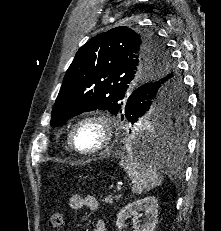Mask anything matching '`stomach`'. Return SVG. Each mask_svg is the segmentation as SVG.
<instances>
[{"mask_svg": "<svg viewBox=\"0 0 221 231\" xmlns=\"http://www.w3.org/2000/svg\"><path fill=\"white\" fill-rule=\"evenodd\" d=\"M138 129L141 130V131H139L138 133H142V132H144V131H147V129H146L144 126H140V127H138ZM132 130L134 131V128H133ZM130 132H131V131H130Z\"/></svg>", "mask_w": 221, "mask_h": 231, "instance_id": "1", "label": "stomach"}]
</instances>
